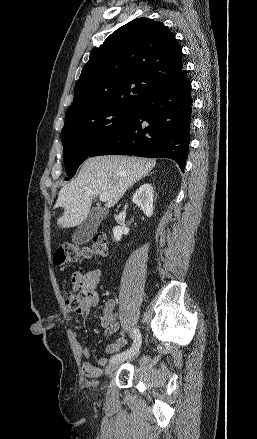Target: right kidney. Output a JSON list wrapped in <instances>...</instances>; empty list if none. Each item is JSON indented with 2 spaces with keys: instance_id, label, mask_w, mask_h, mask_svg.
<instances>
[{
  "instance_id": "ca27d5eb",
  "label": "right kidney",
  "mask_w": 257,
  "mask_h": 439,
  "mask_svg": "<svg viewBox=\"0 0 257 439\" xmlns=\"http://www.w3.org/2000/svg\"><path fill=\"white\" fill-rule=\"evenodd\" d=\"M132 202L139 206L147 217L153 214V187L149 183H145L136 190L132 196ZM129 229L125 226H116L113 229L114 239L120 241L122 235H127Z\"/></svg>"
}]
</instances>
